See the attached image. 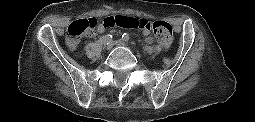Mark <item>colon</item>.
<instances>
[{
  "instance_id": "colon-1",
  "label": "colon",
  "mask_w": 255,
  "mask_h": 122,
  "mask_svg": "<svg viewBox=\"0 0 255 122\" xmlns=\"http://www.w3.org/2000/svg\"><path fill=\"white\" fill-rule=\"evenodd\" d=\"M106 23L110 27L117 26L125 29L151 31L166 50L170 48L172 43V27L165 21H152L145 18L117 15L107 17ZM96 26L97 21L94 18L76 20L70 23L67 27L66 37L68 45L72 48L77 47L80 39L85 35L92 34Z\"/></svg>"
}]
</instances>
